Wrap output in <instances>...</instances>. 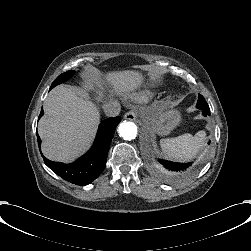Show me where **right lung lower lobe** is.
Returning a JSON list of instances; mask_svg holds the SVG:
<instances>
[{
	"label": "right lung lower lobe",
	"instance_id": "98d812e1",
	"mask_svg": "<svg viewBox=\"0 0 251 251\" xmlns=\"http://www.w3.org/2000/svg\"><path fill=\"white\" fill-rule=\"evenodd\" d=\"M44 114L41 110L39 118ZM121 118H108L99 125L97 137L93 147L82 157L71 164L53 162L44 157L45 164L61 178L76 184L87 185L94 181L106 166L107 155L115 129ZM38 145L41 140L37 134Z\"/></svg>",
	"mask_w": 251,
	"mask_h": 251
}]
</instances>
